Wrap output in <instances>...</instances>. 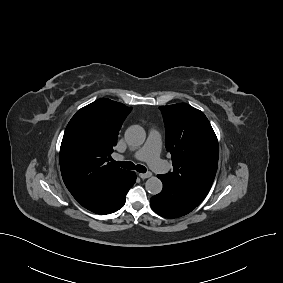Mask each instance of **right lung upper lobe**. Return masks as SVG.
<instances>
[{"label": "right lung upper lobe", "instance_id": "right-lung-upper-lobe-1", "mask_svg": "<svg viewBox=\"0 0 283 283\" xmlns=\"http://www.w3.org/2000/svg\"><path fill=\"white\" fill-rule=\"evenodd\" d=\"M132 107L102 98L81 108L68 123L60 147L63 181L85 208L106 196L129 173L109 160Z\"/></svg>", "mask_w": 283, "mask_h": 283}]
</instances>
